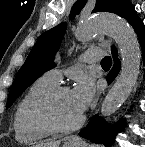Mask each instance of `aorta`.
I'll return each instance as SVG.
<instances>
[{"instance_id":"762f6f07","label":"aorta","mask_w":145,"mask_h":147,"mask_svg":"<svg viewBox=\"0 0 145 147\" xmlns=\"http://www.w3.org/2000/svg\"><path fill=\"white\" fill-rule=\"evenodd\" d=\"M99 32H107L114 39L122 58L120 76L101 106V116L106 118L115 113L132 92L139 74L141 53L136 33L125 19L100 14L82 21L76 29V35L82 41L91 39Z\"/></svg>"}]
</instances>
